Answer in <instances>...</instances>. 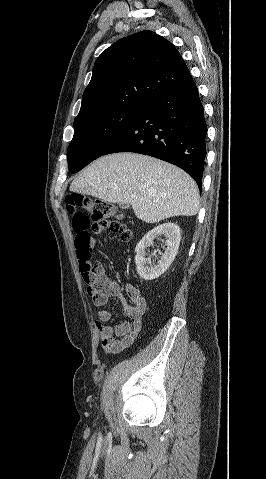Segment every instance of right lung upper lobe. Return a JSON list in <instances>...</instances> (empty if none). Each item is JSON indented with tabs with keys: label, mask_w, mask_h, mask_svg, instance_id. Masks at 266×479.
Returning a JSON list of instances; mask_svg holds the SVG:
<instances>
[{
	"label": "right lung upper lobe",
	"mask_w": 266,
	"mask_h": 479,
	"mask_svg": "<svg viewBox=\"0 0 266 479\" xmlns=\"http://www.w3.org/2000/svg\"><path fill=\"white\" fill-rule=\"evenodd\" d=\"M192 76L178 50L152 31L122 38L97 58L76 119L120 108H144Z\"/></svg>",
	"instance_id": "right-lung-upper-lobe-1"
}]
</instances>
